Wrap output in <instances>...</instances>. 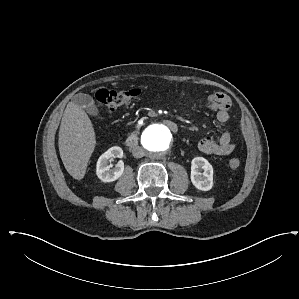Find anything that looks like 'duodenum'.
Listing matches in <instances>:
<instances>
[{
  "mask_svg": "<svg viewBox=\"0 0 299 299\" xmlns=\"http://www.w3.org/2000/svg\"><path fill=\"white\" fill-rule=\"evenodd\" d=\"M164 124L172 131V132H178L179 131V127L178 125L171 120H164ZM138 133L139 130L136 129L133 132H131L129 134V136L126 138L124 144L126 147H133L137 144L138 141Z\"/></svg>",
  "mask_w": 299,
  "mask_h": 299,
  "instance_id": "obj_1",
  "label": "duodenum"
}]
</instances>
